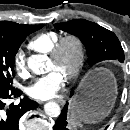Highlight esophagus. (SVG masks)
Returning <instances> with one entry per match:
<instances>
[{"mask_svg": "<svg viewBox=\"0 0 130 130\" xmlns=\"http://www.w3.org/2000/svg\"><path fill=\"white\" fill-rule=\"evenodd\" d=\"M54 101L57 102V103H59L60 105H63L65 103V101L63 99H61V98H56ZM39 103L42 104L43 102L40 101Z\"/></svg>", "mask_w": 130, "mask_h": 130, "instance_id": "obj_1", "label": "esophagus"}]
</instances>
